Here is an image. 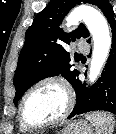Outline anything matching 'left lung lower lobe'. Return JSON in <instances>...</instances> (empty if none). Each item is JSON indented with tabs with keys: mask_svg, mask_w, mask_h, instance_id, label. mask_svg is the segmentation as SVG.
<instances>
[{
	"mask_svg": "<svg viewBox=\"0 0 116 134\" xmlns=\"http://www.w3.org/2000/svg\"><path fill=\"white\" fill-rule=\"evenodd\" d=\"M105 17L112 29V46L109 58L101 77L91 88H86V85L82 84L77 77L73 81L76 104L68 119L75 115L98 110L116 114V20L113 8L106 13Z\"/></svg>",
	"mask_w": 116,
	"mask_h": 134,
	"instance_id": "left-lung-lower-lobe-1",
	"label": "left lung lower lobe"
}]
</instances>
